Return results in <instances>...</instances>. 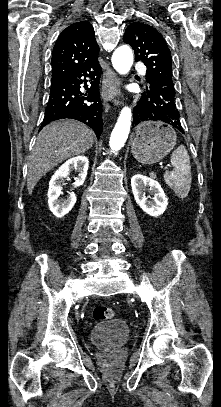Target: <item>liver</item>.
<instances>
[{
  "label": "liver",
  "mask_w": 221,
  "mask_h": 407,
  "mask_svg": "<svg viewBox=\"0 0 221 407\" xmlns=\"http://www.w3.org/2000/svg\"><path fill=\"white\" fill-rule=\"evenodd\" d=\"M94 132L73 120H60L45 126L37 136L28 163L27 190L32 194L37 182L62 161L89 150Z\"/></svg>",
  "instance_id": "obj_1"
}]
</instances>
